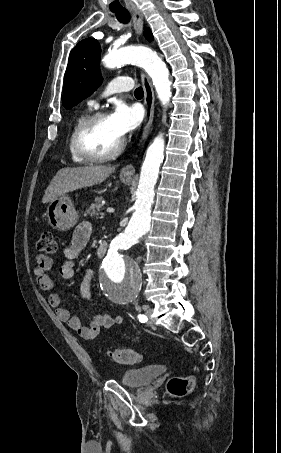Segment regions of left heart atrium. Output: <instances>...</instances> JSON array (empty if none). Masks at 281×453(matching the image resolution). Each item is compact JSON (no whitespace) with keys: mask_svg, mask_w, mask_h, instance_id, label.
I'll return each mask as SVG.
<instances>
[{"mask_svg":"<svg viewBox=\"0 0 281 453\" xmlns=\"http://www.w3.org/2000/svg\"><path fill=\"white\" fill-rule=\"evenodd\" d=\"M109 119L120 136H124L137 128L142 121V112L138 105L129 106L125 102H118Z\"/></svg>","mask_w":281,"mask_h":453,"instance_id":"1","label":"left heart atrium"}]
</instances>
